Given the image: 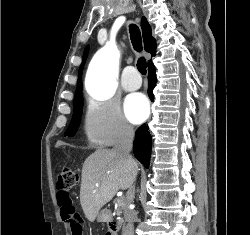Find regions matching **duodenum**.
<instances>
[{
	"label": "duodenum",
	"mask_w": 250,
	"mask_h": 235,
	"mask_svg": "<svg viewBox=\"0 0 250 235\" xmlns=\"http://www.w3.org/2000/svg\"><path fill=\"white\" fill-rule=\"evenodd\" d=\"M108 227H109V234L110 235H117V222L114 220H110L108 222Z\"/></svg>",
	"instance_id": "duodenum-1"
}]
</instances>
